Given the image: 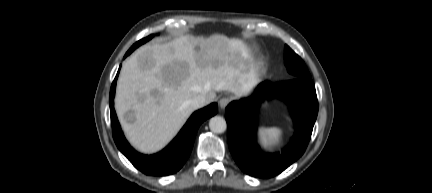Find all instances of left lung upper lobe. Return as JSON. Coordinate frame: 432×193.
Returning <instances> with one entry per match:
<instances>
[{
  "mask_svg": "<svg viewBox=\"0 0 432 193\" xmlns=\"http://www.w3.org/2000/svg\"><path fill=\"white\" fill-rule=\"evenodd\" d=\"M284 60L288 72L294 78H311L306 65L303 60L287 45L284 50Z\"/></svg>",
  "mask_w": 432,
  "mask_h": 193,
  "instance_id": "obj_1",
  "label": "left lung upper lobe"
}]
</instances>
